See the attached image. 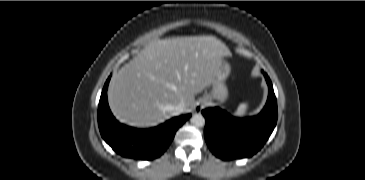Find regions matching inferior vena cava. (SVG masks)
Here are the masks:
<instances>
[{"mask_svg":"<svg viewBox=\"0 0 365 180\" xmlns=\"http://www.w3.org/2000/svg\"><path fill=\"white\" fill-rule=\"evenodd\" d=\"M185 109V103L183 101H181L180 103H178L175 107L174 110L177 114H180L182 112H184Z\"/></svg>","mask_w":365,"mask_h":180,"instance_id":"602c4592","label":"inferior vena cava"}]
</instances>
